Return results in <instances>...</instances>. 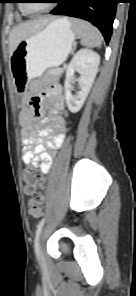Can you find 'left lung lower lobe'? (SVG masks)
Masks as SVG:
<instances>
[{
	"label": "left lung lower lobe",
	"instance_id": "obj_1",
	"mask_svg": "<svg viewBox=\"0 0 136 296\" xmlns=\"http://www.w3.org/2000/svg\"><path fill=\"white\" fill-rule=\"evenodd\" d=\"M120 0H60L51 14L67 15L93 23L103 34L106 44L112 34L116 5Z\"/></svg>",
	"mask_w": 136,
	"mask_h": 296
}]
</instances>
